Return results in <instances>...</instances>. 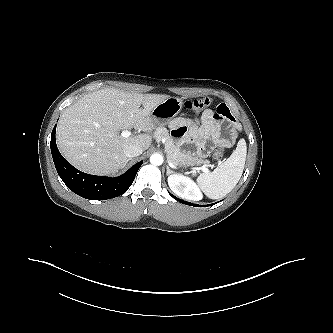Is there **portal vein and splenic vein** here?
Returning <instances> with one entry per match:
<instances>
[{
  "instance_id": "18ae733b",
  "label": "portal vein and splenic vein",
  "mask_w": 333,
  "mask_h": 333,
  "mask_svg": "<svg viewBox=\"0 0 333 333\" xmlns=\"http://www.w3.org/2000/svg\"><path fill=\"white\" fill-rule=\"evenodd\" d=\"M130 135H131V132H130L129 130H124V131H122V133H121V136H122L123 138H128V137H130ZM197 169H198V170H201V171H203V172H208V171H209L208 168H207L205 165H203V166H201V167H198Z\"/></svg>"
}]
</instances>
